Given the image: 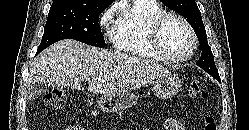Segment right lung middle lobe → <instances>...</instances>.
<instances>
[{"label":"right lung middle lobe","instance_id":"obj_1","mask_svg":"<svg viewBox=\"0 0 249 130\" xmlns=\"http://www.w3.org/2000/svg\"><path fill=\"white\" fill-rule=\"evenodd\" d=\"M105 8L52 5L37 53L62 39H74L87 45L104 47L105 41L98 20Z\"/></svg>","mask_w":249,"mask_h":130}]
</instances>
